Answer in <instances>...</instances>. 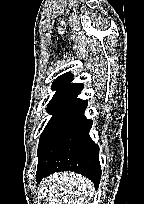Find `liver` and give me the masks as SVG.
Wrapping results in <instances>:
<instances>
[{"label":"liver","instance_id":"liver-1","mask_svg":"<svg viewBox=\"0 0 144 204\" xmlns=\"http://www.w3.org/2000/svg\"><path fill=\"white\" fill-rule=\"evenodd\" d=\"M49 204H85L94 192L92 182L73 172H60L46 178Z\"/></svg>","mask_w":144,"mask_h":204}]
</instances>
